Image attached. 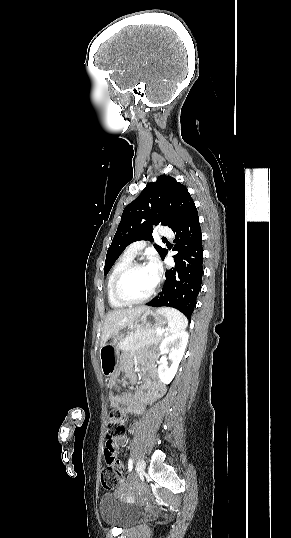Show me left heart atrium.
<instances>
[{
	"label": "left heart atrium",
	"instance_id": "39dd6f15",
	"mask_svg": "<svg viewBox=\"0 0 291 538\" xmlns=\"http://www.w3.org/2000/svg\"><path fill=\"white\" fill-rule=\"evenodd\" d=\"M148 270L157 280L161 274V265L157 258H152L147 266Z\"/></svg>",
	"mask_w": 291,
	"mask_h": 538
}]
</instances>
